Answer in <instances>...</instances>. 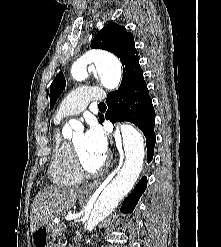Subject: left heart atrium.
<instances>
[{
	"instance_id": "1",
	"label": "left heart atrium",
	"mask_w": 221,
	"mask_h": 247,
	"mask_svg": "<svg viewBox=\"0 0 221 247\" xmlns=\"http://www.w3.org/2000/svg\"><path fill=\"white\" fill-rule=\"evenodd\" d=\"M84 136L87 149L99 157H105L107 139L104 131L97 124L92 123Z\"/></svg>"
}]
</instances>
